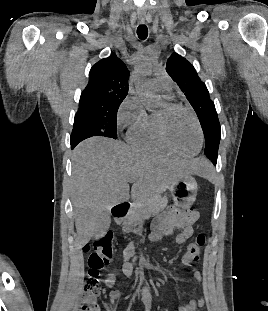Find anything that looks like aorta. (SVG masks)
Segmentation results:
<instances>
[{"label": "aorta", "mask_w": 268, "mask_h": 311, "mask_svg": "<svg viewBox=\"0 0 268 311\" xmlns=\"http://www.w3.org/2000/svg\"><path fill=\"white\" fill-rule=\"evenodd\" d=\"M155 65L150 61H142L136 66L137 81L136 90L144 98H147L146 104H154L158 101V97L152 93L147 76L155 71Z\"/></svg>", "instance_id": "aorta-1"}]
</instances>
